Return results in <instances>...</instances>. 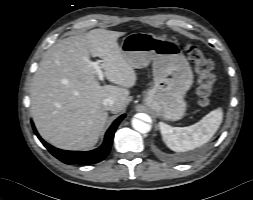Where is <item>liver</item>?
Masks as SVG:
<instances>
[{"label": "liver", "mask_w": 253, "mask_h": 200, "mask_svg": "<svg viewBox=\"0 0 253 200\" xmlns=\"http://www.w3.org/2000/svg\"><path fill=\"white\" fill-rule=\"evenodd\" d=\"M122 35L93 29L85 36L62 39L44 53L32 80L30 111L48 143L88 150L98 142L108 119L103 100H114L113 113L124 109L137 76L117 43ZM90 55L101 59L106 79L119 86L99 83Z\"/></svg>", "instance_id": "liver-1"}]
</instances>
